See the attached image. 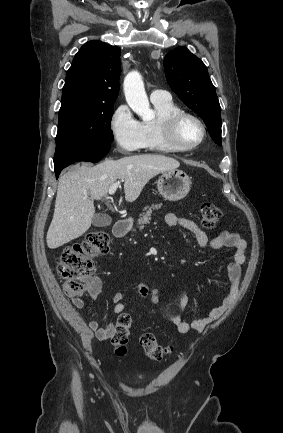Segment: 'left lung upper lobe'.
I'll return each instance as SVG.
<instances>
[{
    "label": "left lung upper lobe",
    "mask_w": 283,
    "mask_h": 433,
    "mask_svg": "<svg viewBox=\"0 0 283 433\" xmlns=\"http://www.w3.org/2000/svg\"><path fill=\"white\" fill-rule=\"evenodd\" d=\"M171 89L206 123L212 139L221 142V108L204 63L185 47H177L164 58Z\"/></svg>",
    "instance_id": "left-lung-upper-lobe-1"
}]
</instances>
